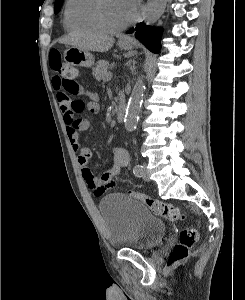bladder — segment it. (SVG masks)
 <instances>
[{"label": "bladder", "instance_id": "31cf9c89", "mask_svg": "<svg viewBox=\"0 0 245 300\" xmlns=\"http://www.w3.org/2000/svg\"><path fill=\"white\" fill-rule=\"evenodd\" d=\"M99 210L114 249L150 251L163 241L165 223L139 201L112 194L100 201Z\"/></svg>", "mask_w": 245, "mask_h": 300}]
</instances>
